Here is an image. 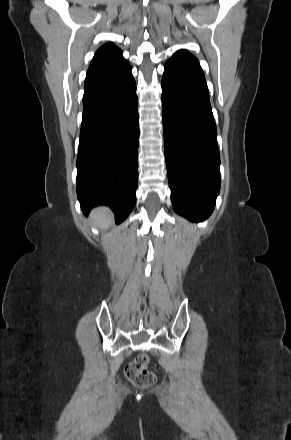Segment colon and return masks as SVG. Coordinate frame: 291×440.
Here are the masks:
<instances>
[{
  "instance_id": "5ec220e1",
  "label": "colon",
  "mask_w": 291,
  "mask_h": 440,
  "mask_svg": "<svg viewBox=\"0 0 291 440\" xmlns=\"http://www.w3.org/2000/svg\"><path fill=\"white\" fill-rule=\"evenodd\" d=\"M149 357L146 354L139 355L127 364L125 374L127 378L138 387L151 385L156 382V376L147 369Z\"/></svg>"
}]
</instances>
